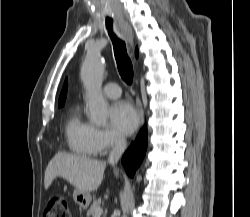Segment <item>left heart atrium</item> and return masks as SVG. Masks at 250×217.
Instances as JSON below:
<instances>
[{"label": "left heart atrium", "mask_w": 250, "mask_h": 217, "mask_svg": "<svg viewBox=\"0 0 250 217\" xmlns=\"http://www.w3.org/2000/svg\"><path fill=\"white\" fill-rule=\"evenodd\" d=\"M109 115L113 128L121 134L130 135L138 126L137 112L127 101L116 102L110 108Z\"/></svg>", "instance_id": "obj_1"}]
</instances>
